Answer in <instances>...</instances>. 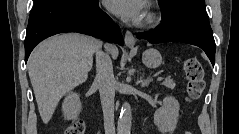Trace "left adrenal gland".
<instances>
[{
    "label": "left adrenal gland",
    "mask_w": 239,
    "mask_h": 134,
    "mask_svg": "<svg viewBox=\"0 0 239 134\" xmlns=\"http://www.w3.org/2000/svg\"><path fill=\"white\" fill-rule=\"evenodd\" d=\"M144 76L142 75L140 77V83H141V86L144 88V87H148L149 84L152 82V78H147V79H143Z\"/></svg>",
    "instance_id": "1"
}]
</instances>
